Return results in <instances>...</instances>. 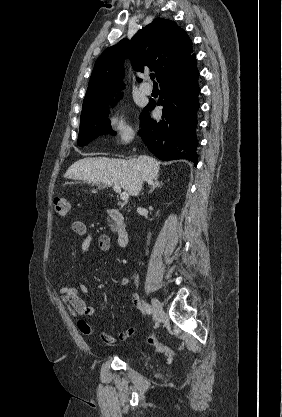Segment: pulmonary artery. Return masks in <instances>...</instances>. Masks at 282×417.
Listing matches in <instances>:
<instances>
[{
  "mask_svg": "<svg viewBox=\"0 0 282 417\" xmlns=\"http://www.w3.org/2000/svg\"><path fill=\"white\" fill-rule=\"evenodd\" d=\"M148 78L146 77L145 78V80H147ZM140 91H141V93L142 94H144V95H149V94H151V92H152V87L151 86H147V85H145V84H142L141 86H140Z\"/></svg>",
  "mask_w": 282,
  "mask_h": 417,
  "instance_id": "e3ab8cb5",
  "label": "pulmonary artery"
}]
</instances>
